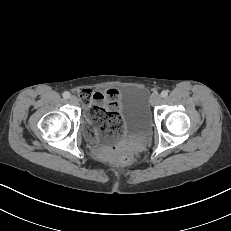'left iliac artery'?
<instances>
[{
    "label": "left iliac artery",
    "mask_w": 231,
    "mask_h": 231,
    "mask_svg": "<svg viewBox=\"0 0 231 231\" xmlns=\"http://www.w3.org/2000/svg\"><path fill=\"white\" fill-rule=\"evenodd\" d=\"M161 96H162L163 98L167 97V96H168V91H167V90H163V91L161 92Z\"/></svg>",
    "instance_id": "44dca946"
}]
</instances>
